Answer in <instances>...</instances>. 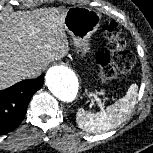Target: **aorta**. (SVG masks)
I'll use <instances>...</instances> for the list:
<instances>
[{"mask_svg":"<svg viewBox=\"0 0 153 153\" xmlns=\"http://www.w3.org/2000/svg\"><path fill=\"white\" fill-rule=\"evenodd\" d=\"M50 92L63 103H72L79 90L78 79L71 72H55L47 79Z\"/></svg>","mask_w":153,"mask_h":153,"instance_id":"1","label":"aorta"}]
</instances>
